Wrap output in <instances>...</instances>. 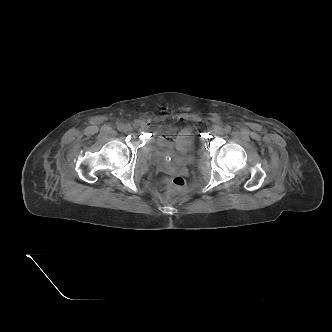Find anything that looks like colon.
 <instances>
[{
  "label": "colon",
  "mask_w": 332,
  "mask_h": 332,
  "mask_svg": "<svg viewBox=\"0 0 332 332\" xmlns=\"http://www.w3.org/2000/svg\"><path fill=\"white\" fill-rule=\"evenodd\" d=\"M185 184V180L180 176H170L163 179V186L169 193L181 191Z\"/></svg>",
  "instance_id": "obj_1"
}]
</instances>
